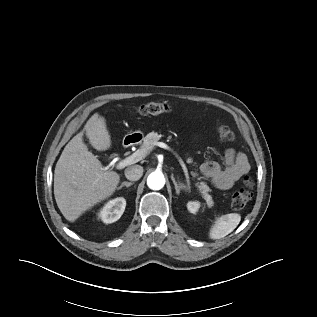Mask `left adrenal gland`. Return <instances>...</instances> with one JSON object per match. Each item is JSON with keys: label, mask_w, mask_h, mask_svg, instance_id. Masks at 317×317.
Returning <instances> with one entry per match:
<instances>
[{"label": "left adrenal gland", "mask_w": 317, "mask_h": 317, "mask_svg": "<svg viewBox=\"0 0 317 317\" xmlns=\"http://www.w3.org/2000/svg\"><path fill=\"white\" fill-rule=\"evenodd\" d=\"M171 179H172L173 184H174V186H175V190H176V194H177V195H180V191H181V190H185V191L190 192L189 187H188V186H185L183 183H179V184H178V183L175 181V178H174L173 175L171 176Z\"/></svg>", "instance_id": "a2214340"}]
</instances>
